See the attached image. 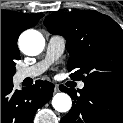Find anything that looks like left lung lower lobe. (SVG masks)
<instances>
[{
    "label": "left lung lower lobe",
    "instance_id": "1",
    "mask_svg": "<svg viewBox=\"0 0 123 123\" xmlns=\"http://www.w3.org/2000/svg\"><path fill=\"white\" fill-rule=\"evenodd\" d=\"M60 90L74 100L61 123H123V85L85 83L82 90L64 86Z\"/></svg>",
    "mask_w": 123,
    "mask_h": 123
}]
</instances>
